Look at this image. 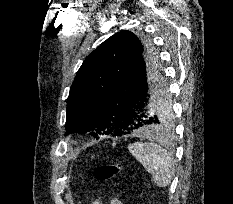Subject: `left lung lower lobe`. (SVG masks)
<instances>
[{"label":"left lung lower lobe","mask_w":233,"mask_h":204,"mask_svg":"<svg viewBox=\"0 0 233 204\" xmlns=\"http://www.w3.org/2000/svg\"><path fill=\"white\" fill-rule=\"evenodd\" d=\"M158 58L144 59L123 95L116 113L117 124L124 133L160 132L154 115L159 98L167 86Z\"/></svg>","instance_id":"obj_1"}]
</instances>
